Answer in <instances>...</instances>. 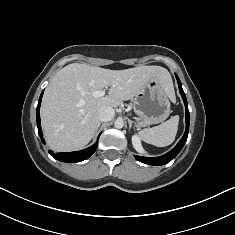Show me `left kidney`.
Masks as SVG:
<instances>
[{
	"label": "left kidney",
	"instance_id": "5707ae66",
	"mask_svg": "<svg viewBox=\"0 0 235 235\" xmlns=\"http://www.w3.org/2000/svg\"><path fill=\"white\" fill-rule=\"evenodd\" d=\"M132 144L135 150L139 153H145V150L141 144V138L138 135H133L132 136Z\"/></svg>",
	"mask_w": 235,
	"mask_h": 235
}]
</instances>
